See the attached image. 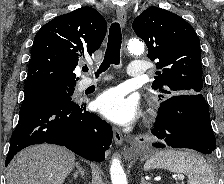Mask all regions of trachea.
Masks as SVG:
<instances>
[{
	"label": "trachea",
	"instance_id": "trachea-1",
	"mask_svg": "<svg viewBox=\"0 0 224 184\" xmlns=\"http://www.w3.org/2000/svg\"><path fill=\"white\" fill-rule=\"evenodd\" d=\"M122 43V33L119 23L114 22L109 29V37L107 49L105 52L104 60L100 65V68L95 72V76L98 77L100 73L105 72L111 64L119 65L120 63V49ZM87 72L88 67L82 68Z\"/></svg>",
	"mask_w": 224,
	"mask_h": 184
}]
</instances>
